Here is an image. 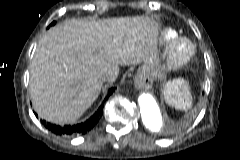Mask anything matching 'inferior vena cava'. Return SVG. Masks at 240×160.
I'll return each instance as SVG.
<instances>
[{
	"label": "inferior vena cava",
	"instance_id": "1",
	"mask_svg": "<svg viewBox=\"0 0 240 160\" xmlns=\"http://www.w3.org/2000/svg\"><path fill=\"white\" fill-rule=\"evenodd\" d=\"M115 79H116V77L113 76V75H104V76L102 77V80H103V81H110V80H115Z\"/></svg>",
	"mask_w": 240,
	"mask_h": 160
}]
</instances>
